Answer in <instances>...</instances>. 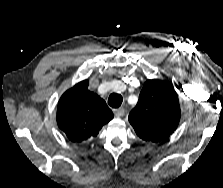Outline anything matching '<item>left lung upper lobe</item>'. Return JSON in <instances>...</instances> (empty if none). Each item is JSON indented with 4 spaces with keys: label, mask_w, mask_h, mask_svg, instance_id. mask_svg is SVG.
Returning a JSON list of instances; mask_svg holds the SVG:
<instances>
[{
    "label": "left lung upper lobe",
    "mask_w": 223,
    "mask_h": 188,
    "mask_svg": "<svg viewBox=\"0 0 223 188\" xmlns=\"http://www.w3.org/2000/svg\"><path fill=\"white\" fill-rule=\"evenodd\" d=\"M180 115L179 100L174 88L160 80H148L128 118L141 139L160 142L175 131Z\"/></svg>",
    "instance_id": "obj_1"
}]
</instances>
